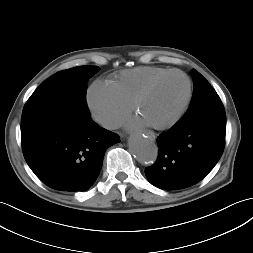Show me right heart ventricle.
Returning <instances> with one entry per match:
<instances>
[{"instance_id":"obj_1","label":"right heart ventricle","mask_w":253,"mask_h":253,"mask_svg":"<svg viewBox=\"0 0 253 253\" xmlns=\"http://www.w3.org/2000/svg\"><path fill=\"white\" fill-rule=\"evenodd\" d=\"M169 71L167 68L141 66L121 71L109 80L122 100L129 106L136 95L155 77Z\"/></svg>"}]
</instances>
